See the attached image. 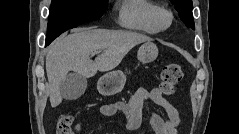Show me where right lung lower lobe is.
I'll return each instance as SVG.
<instances>
[{
	"instance_id": "right-lung-lower-lobe-1",
	"label": "right lung lower lobe",
	"mask_w": 239,
	"mask_h": 134,
	"mask_svg": "<svg viewBox=\"0 0 239 134\" xmlns=\"http://www.w3.org/2000/svg\"><path fill=\"white\" fill-rule=\"evenodd\" d=\"M51 41H53L52 39H46V44L48 45Z\"/></svg>"
}]
</instances>
